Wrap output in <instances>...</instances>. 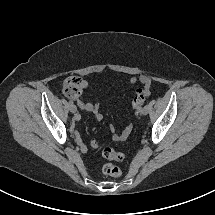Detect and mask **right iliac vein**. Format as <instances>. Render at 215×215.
<instances>
[{"mask_svg": "<svg viewBox=\"0 0 215 215\" xmlns=\"http://www.w3.org/2000/svg\"><path fill=\"white\" fill-rule=\"evenodd\" d=\"M69 110H70L71 113H76L77 107H76L74 104H71V105L69 106Z\"/></svg>", "mask_w": 215, "mask_h": 215, "instance_id": "right-iliac-vein-1", "label": "right iliac vein"}]
</instances>
